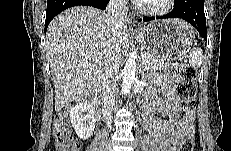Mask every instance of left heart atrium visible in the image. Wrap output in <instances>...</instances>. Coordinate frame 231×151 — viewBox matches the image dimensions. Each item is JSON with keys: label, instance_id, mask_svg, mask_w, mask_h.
Masks as SVG:
<instances>
[{"label": "left heart atrium", "instance_id": "1", "mask_svg": "<svg viewBox=\"0 0 231 151\" xmlns=\"http://www.w3.org/2000/svg\"><path fill=\"white\" fill-rule=\"evenodd\" d=\"M134 2L135 3H146L148 2V0H135Z\"/></svg>", "mask_w": 231, "mask_h": 151}]
</instances>
